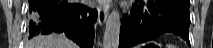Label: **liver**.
<instances>
[{
    "mask_svg": "<svg viewBox=\"0 0 213 48\" xmlns=\"http://www.w3.org/2000/svg\"><path fill=\"white\" fill-rule=\"evenodd\" d=\"M26 48H78V46L64 35H39L31 39Z\"/></svg>",
    "mask_w": 213,
    "mask_h": 48,
    "instance_id": "1",
    "label": "liver"
}]
</instances>
